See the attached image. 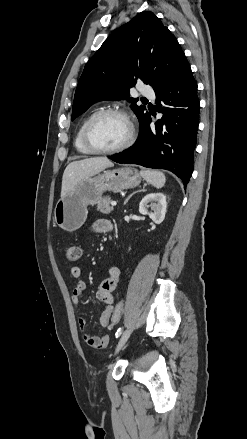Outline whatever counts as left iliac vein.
I'll list each match as a JSON object with an SVG mask.
<instances>
[{"mask_svg":"<svg viewBox=\"0 0 247 439\" xmlns=\"http://www.w3.org/2000/svg\"><path fill=\"white\" fill-rule=\"evenodd\" d=\"M131 332H132V329L129 328L122 334V336L118 342V345L116 347L115 354H117L121 350V348L124 346V344L127 342L128 338L130 337Z\"/></svg>","mask_w":247,"mask_h":439,"instance_id":"left-iliac-vein-1","label":"left iliac vein"}]
</instances>
